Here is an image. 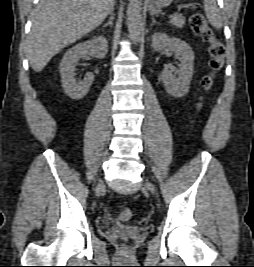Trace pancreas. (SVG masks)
<instances>
[{
    "label": "pancreas",
    "instance_id": "cf45deb5",
    "mask_svg": "<svg viewBox=\"0 0 254 267\" xmlns=\"http://www.w3.org/2000/svg\"><path fill=\"white\" fill-rule=\"evenodd\" d=\"M185 21H186V19H185V17L184 16H182V15H176L174 18H172L171 20H170V23L173 25V26H175L176 28H182L183 27V25L185 24Z\"/></svg>",
    "mask_w": 254,
    "mask_h": 267
}]
</instances>
